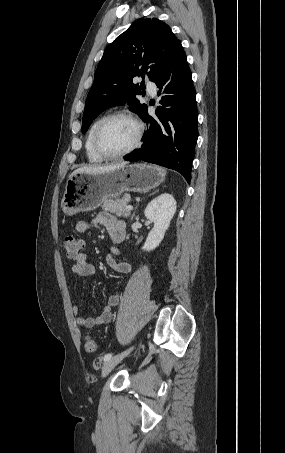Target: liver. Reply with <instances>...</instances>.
Segmentation results:
<instances>
[{"mask_svg": "<svg viewBox=\"0 0 285 453\" xmlns=\"http://www.w3.org/2000/svg\"><path fill=\"white\" fill-rule=\"evenodd\" d=\"M126 164H127L126 162H122L119 164H111V165H107V166H84V167H80V168L74 170L72 172V174L69 176V178L76 174H80V173L98 174V173L108 172V171L123 167Z\"/></svg>", "mask_w": 285, "mask_h": 453, "instance_id": "1", "label": "liver"}]
</instances>
